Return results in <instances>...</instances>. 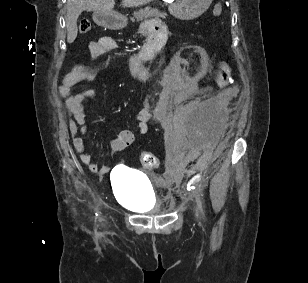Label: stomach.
<instances>
[{
    "label": "stomach",
    "mask_w": 308,
    "mask_h": 283,
    "mask_svg": "<svg viewBox=\"0 0 308 283\" xmlns=\"http://www.w3.org/2000/svg\"><path fill=\"white\" fill-rule=\"evenodd\" d=\"M168 7L171 15L181 20H193L202 15L211 5L212 0H173ZM94 21L103 27L118 30L127 25V18L117 13L97 11Z\"/></svg>",
    "instance_id": "0dacf381"
}]
</instances>
